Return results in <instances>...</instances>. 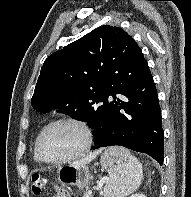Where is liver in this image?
<instances>
[{"mask_svg": "<svg viewBox=\"0 0 191 197\" xmlns=\"http://www.w3.org/2000/svg\"><path fill=\"white\" fill-rule=\"evenodd\" d=\"M100 153V151H97V152H93L91 153L90 155L76 161V162H73L71 165L73 166H83V165H86L87 163L91 162L93 159L96 158V156Z\"/></svg>", "mask_w": 191, "mask_h": 197, "instance_id": "liver-1", "label": "liver"}]
</instances>
